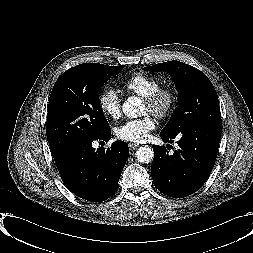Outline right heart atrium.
Returning a JSON list of instances; mask_svg holds the SVG:
<instances>
[{
	"mask_svg": "<svg viewBox=\"0 0 253 253\" xmlns=\"http://www.w3.org/2000/svg\"><path fill=\"white\" fill-rule=\"evenodd\" d=\"M101 111L110 118L117 119L121 115V98L116 90L107 88L99 96Z\"/></svg>",
	"mask_w": 253,
	"mask_h": 253,
	"instance_id": "d8ad5b80",
	"label": "right heart atrium"
}]
</instances>
